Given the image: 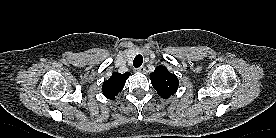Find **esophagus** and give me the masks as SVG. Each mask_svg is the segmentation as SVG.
Wrapping results in <instances>:
<instances>
[{
  "mask_svg": "<svg viewBox=\"0 0 276 138\" xmlns=\"http://www.w3.org/2000/svg\"><path fill=\"white\" fill-rule=\"evenodd\" d=\"M145 70H146V68L144 66H141V67L137 68V71L141 72V73H144Z\"/></svg>",
  "mask_w": 276,
  "mask_h": 138,
  "instance_id": "34e87169",
  "label": "esophagus"
}]
</instances>
